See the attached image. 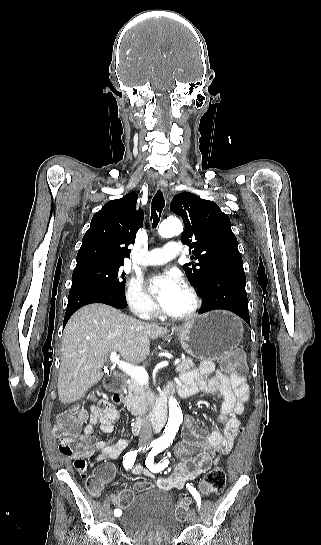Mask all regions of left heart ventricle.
<instances>
[{"label": "left heart ventricle", "instance_id": "obj_1", "mask_svg": "<svg viewBox=\"0 0 321 545\" xmlns=\"http://www.w3.org/2000/svg\"><path fill=\"white\" fill-rule=\"evenodd\" d=\"M192 306V297L185 289L181 288L167 312L172 314H182L188 312Z\"/></svg>", "mask_w": 321, "mask_h": 545}]
</instances>
